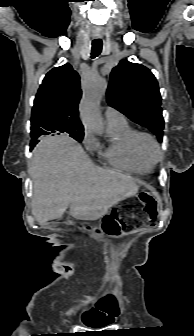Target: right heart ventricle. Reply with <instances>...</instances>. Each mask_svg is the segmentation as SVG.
<instances>
[{
	"instance_id": "right-heart-ventricle-1",
	"label": "right heart ventricle",
	"mask_w": 194,
	"mask_h": 336,
	"mask_svg": "<svg viewBox=\"0 0 194 336\" xmlns=\"http://www.w3.org/2000/svg\"><path fill=\"white\" fill-rule=\"evenodd\" d=\"M112 137L107 145L97 143L99 156L109 165L134 174H146L151 166L141 162L132 146L135 130L125 121L121 124L110 125Z\"/></svg>"
}]
</instances>
